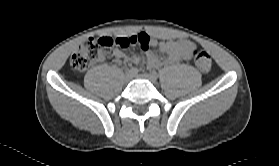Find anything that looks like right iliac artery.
<instances>
[{
    "mask_svg": "<svg viewBox=\"0 0 279 166\" xmlns=\"http://www.w3.org/2000/svg\"><path fill=\"white\" fill-rule=\"evenodd\" d=\"M130 73H132V74H137L138 73V69L137 68H135V67H132L130 70H128Z\"/></svg>",
    "mask_w": 279,
    "mask_h": 166,
    "instance_id": "right-iliac-artery-1",
    "label": "right iliac artery"
}]
</instances>
